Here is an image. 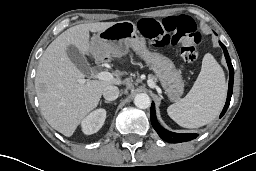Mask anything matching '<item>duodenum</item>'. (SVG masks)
<instances>
[{"mask_svg": "<svg viewBox=\"0 0 256 171\" xmlns=\"http://www.w3.org/2000/svg\"><path fill=\"white\" fill-rule=\"evenodd\" d=\"M97 63H98V64H101V63H103V60H100V59H99V60H97Z\"/></svg>", "mask_w": 256, "mask_h": 171, "instance_id": "410a0bca", "label": "duodenum"}]
</instances>
